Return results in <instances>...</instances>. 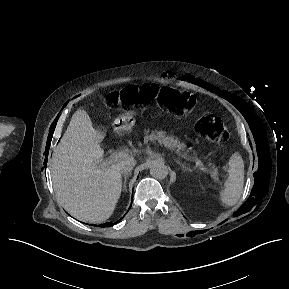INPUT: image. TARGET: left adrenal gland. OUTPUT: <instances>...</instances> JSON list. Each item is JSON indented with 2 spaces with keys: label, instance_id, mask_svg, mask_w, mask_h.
<instances>
[{
  "label": "left adrenal gland",
  "instance_id": "1",
  "mask_svg": "<svg viewBox=\"0 0 289 289\" xmlns=\"http://www.w3.org/2000/svg\"><path fill=\"white\" fill-rule=\"evenodd\" d=\"M175 162L178 163L182 167L183 171H187V170L191 171V169L188 166H186L184 163L180 162L179 160L175 159Z\"/></svg>",
  "mask_w": 289,
  "mask_h": 289
}]
</instances>
